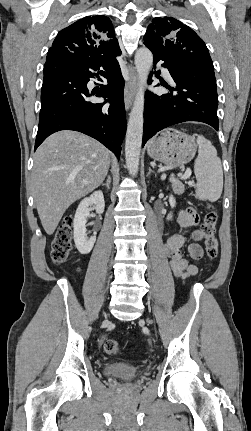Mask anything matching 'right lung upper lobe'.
I'll return each mask as SVG.
<instances>
[{"instance_id":"right-lung-upper-lobe-1","label":"right lung upper lobe","mask_w":251,"mask_h":431,"mask_svg":"<svg viewBox=\"0 0 251 431\" xmlns=\"http://www.w3.org/2000/svg\"><path fill=\"white\" fill-rule=\"evenodd\" d=\"M61 53L81 61L111 67L121 54L111 20L103 15L88 16L62 29L50 47L46 62Z\"/></svg>"}]
</instances>
